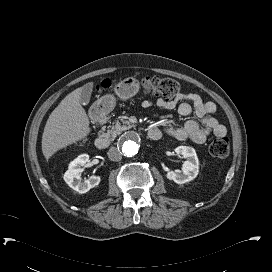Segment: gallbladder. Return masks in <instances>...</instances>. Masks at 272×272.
Instances as JSON below:
<instances>
[{"instance_id": "1", "label": "gallbladder", "mask_w": 272, "mask_h": 272, "mask_svg": "<svg viewBox=\"0 0 272 272\" xmlns=\"http://www.w3.org/2000/svg\"><path fill=\"white\" fill-rule=\"evenodd\" d=\"M93 85L92 83H87L82 88V93L80 97V101L84 104H88L90 101L91 93H92Z\"/></svg>"}]
</instances>
